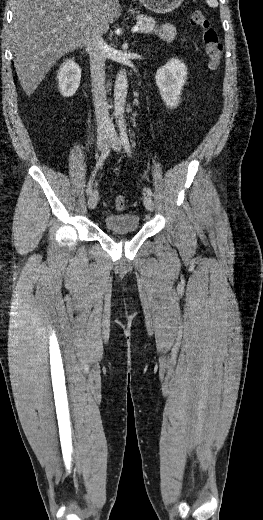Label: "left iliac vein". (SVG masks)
Wrapping results in <instances>:
<instances>
[{"instance_id":"left-iliac-vein-1","label":"left iliac vein","mask_w":263,"mask_h":520,"mask_svg":"<svg viewBox=\"0 0 263 520\" xmlns=\"http://www.w3.org/2000/svg\"><path fill=\"white\" fill-rule=\"evenodd\" d=\"M109 143H110V146L112 147V149L114 151L118 152V151L121 150L122 142H121V139L119 138V136L117 135V133H116V131L114 129H111V131H110ZM143 202H144L145 208L148 211H153L154 203H153V200H152V198L150 196L145 195L144 199H143Z\"/></svg>"}]
</instances>
